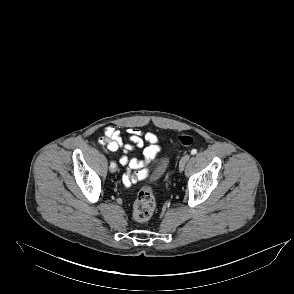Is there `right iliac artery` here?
Returning <instances> with one entry per match:
<instances>
[{
    "mask_svg": "<svg viewBox=\"0 0 294 294\" xmlns=\"http://www.w3.org/2000/svg\"><path fill=\"white\" fill-rule=\"evenodd\" d=\"M116 164L114 162H111L110 167H115Z\"/></svg>",
    "mask_w": 294,
    "mask_h": 294,
    "instance_id": "right-iliac-artery-1",
    "label": "right iliac artery"
}]
</instances>
